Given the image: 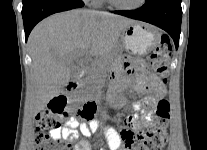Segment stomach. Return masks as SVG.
<instances>
[{
	"mask_svg": "<svg viewBox=\"0 0 207 150\" xmlns=\"http://www.w3.org/2000/svg\"><path fill=\"white\" fill-rule=\"evenodd\" d=\"M158 33L147 25L132 23L127 25L121 33L122 46L136 56L149 53L156 44Z\"/></svg>",
	"mask_w": 207,
	"mask_h": 150,
	"instance_id": "0dacf381",
	"label": "stomach"
}]
</instances>
